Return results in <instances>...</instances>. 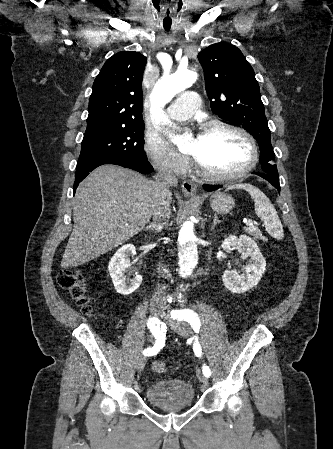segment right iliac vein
Instances as JSON below:
<instances>
[{"label":"right iliac vein","instance_id":"1","mask_svg":"<svg viewBox=\"0 0 333 449\" xmlns=\"http://www.w3.org/2000/svg\"><path fill=\"white\" fill-rule=\"evenodd\" d=\"M163 311V306L159 302H152L151 303V313L157 317L159 316ZM147 361V357L145 355L138 356L137 362H136V368L137 371L140 372L144 368Z\"/></svg>","mask_w":333,"mask_h":449}]
</instances>
